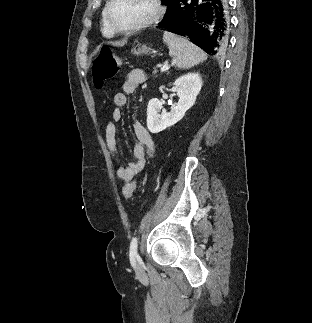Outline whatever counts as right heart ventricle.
Returning a JSON list of instances; mask_svg holds the SVG:
<instances>
[{"label":"right heart ventricle","mask_w":312,"mask_h":323,"mask_svg":"<svg viewBox=\"0 0 312 323\" xmlns=\"http://www.w3.org/2000/svg\"><path fill=\"white\" fill-rule=\"evenodd\" d=\"M97 23L100 33H111L113 25L109 18H98Z\"/></svg>","instance_id":"right-heart-ventricle-1"}]
</instances>
